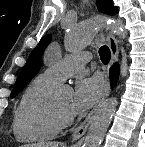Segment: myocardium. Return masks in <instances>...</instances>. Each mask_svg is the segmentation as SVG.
Instances as JSON below:
<instances>
[{
  "label": "myocardium",
  "instance_id": "obj_1",
  "mask_svg": "<svg viewBox=\"0 0 145 147\" xmlns=\"http://www.w3.org/2000/svg\"><path fill=\"white\" fill-rule=\"evenodd\" d=\"M52 108H53V111H54L56 117L62 123V125L68 124L71 122L72 116H71L70 112L63 111L62 109H60L58 107V105L56 104V102L52 103Z\"/></svg>",
  "mask_w": 145,
  "mask_h": 147
}]
</instances>
